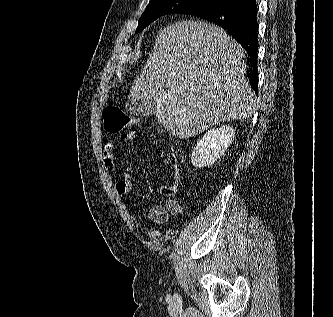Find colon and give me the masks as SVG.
Instances as JSON below:
<instances>
[{
    "label": "colon",
    "mask_w": 333,
    "mask_h": 317,
    "mask_svg": "<svg viewBox=\"0 0 333 317\" xmlns=\"http://www.w3.org/2000/svg\"><path fill=\"white\" fill-rule=\"evenodd\" d=\"M104 129L110 134H120L136 123V119L117 106H108L103 111Z\"/></svg>",
    "instance_id": "1"
}]
</instances>
